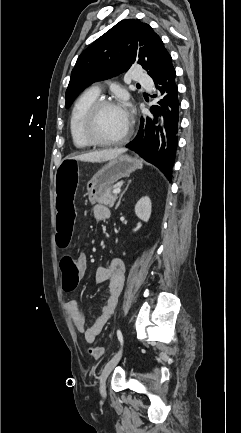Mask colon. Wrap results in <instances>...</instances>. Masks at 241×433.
Segmentation results:
<instances>
[{"label":"colon","instance_id":"1","mask_svg":"<svg viewBox=\"0 0 241 433\" xmlns=\"http://www.w3.org/2000/svg\"><path fill=\"white\" fill-rule=\"evenodd\" d=\"M79 157H63L57 166L55 173V206L58 209L55 228L58 230L57 244L65 249L69 245L70 235L74 233V223L78 215V208L74 207V196L79 178L76 168H80ZM60 268L63 273V287L73 290L78 282L79 271L70 255L61 259ZM90 356L99 360L104 356V350L99 347L89 349Z\"/></svg>","mask_w":241,"mask_h":433}]
</instances>
